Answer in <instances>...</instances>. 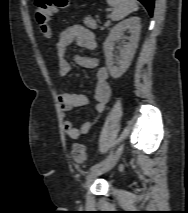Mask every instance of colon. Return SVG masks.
<instances>
[{"label": "colon", "mask_w": 188, "mask_h": 213, "mask_svg": "<svg viewBox=\"0 0 188 213\" xmlns=\"http://www.w3.org/2000/svg\"><path fill=\"white\" fill-rule=\"evenodd\" d=\"M69 6V0H36L35 18L43 36H51L50 20L52 15ZM71 155L73 161L82 163L86 159V148L83 144L76 143L72 146Z\"/></svg>", "instance_id": "5ec220e1"}]
</instances>
